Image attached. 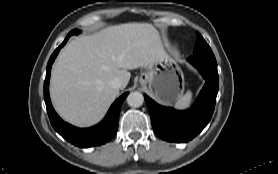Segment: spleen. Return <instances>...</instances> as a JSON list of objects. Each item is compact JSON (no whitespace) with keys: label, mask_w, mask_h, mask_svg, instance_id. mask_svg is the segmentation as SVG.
I'll use <instances>...</instances> for the list:
<instances>
[{"label":"spleen","mask_w":278,"mask_h":174,"mask_svg":"<svg viewBox=\"0 0 278 174\" xmlns=\"http://www.w3.org/2000/svg\"><path fill=\"white\" fill-rule=\"evenodd\" d=\"M192 98L193 94L190 90H188L186 94L175 103L174 107L178 110L188 109L192 103Z\"/></svg>","instance_id":"1"}]
</instances>
